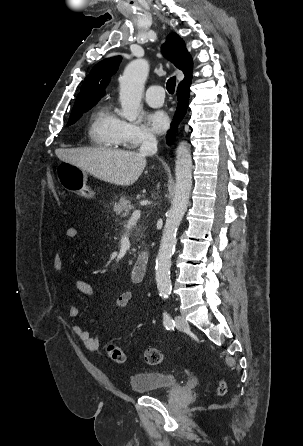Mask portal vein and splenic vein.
Here are the masks:
<instances>
[{
	"instance_id": "18ae733b",
	"label": "portal vein and splenic vein",
	"mask_w": 303,
	"mask_h": 446,
	"mask_svg": "<svg viewBox=\"0 0 303 446\" xmlns=\"http://www.w3.org/2000/svg\"><path fill=\"white\" fill-rule=\"evenodd\" d=\"M140 210H135L133 213H132V216L130 217V219H129V221H128V224H133V223H135L139 218H140Z\"/></svg>"
}]
</instances>
